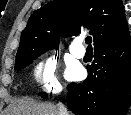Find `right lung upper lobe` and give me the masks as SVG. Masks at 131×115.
I'll return each mask as SVG.
<instances>
[{"mask_svg": "<svg viewBox=\"0 0 131 115\" xmlns=\"http://www.w3.org/2000/svg\"><path fill=\"white\" fill-rule=\"evenodd\" d=\"M91 29L94 47L129 35L122 0H54L35 11L22 32L16 58L58 47L60 36Z\"/></svg>", "mask_w": 131, "mask_h": 115, "instance_id": "right-lung-upper-lobe-1", "label": "right lung upper lobe"}]
</instances>
